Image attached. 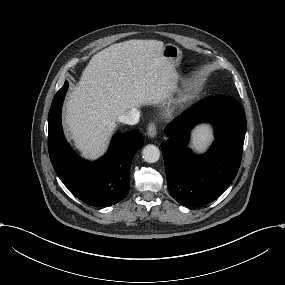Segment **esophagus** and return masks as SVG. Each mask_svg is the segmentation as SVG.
<instances>
[{
    "label": "esophagus",
    "instance_id": "1",
    "mask_svg": "<svg viewBox=\"0 0 285 285\" xmlns=\"http://www.w3.org/2000/svg\"><path fill=\"white\" fill-rule=\"evenodd\" d=\"M147 133H148V136L150 138H153L156 136V125H155V123L152 122L148 125Z\"/></svg>",
    "mask_w": 285,
    "mask_h": 285
}]
</instances>
